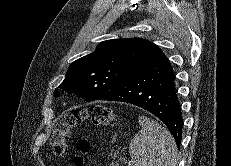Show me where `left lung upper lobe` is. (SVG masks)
I'll use <instances>...</instances> for the list:
<instances>
[{"label": "left lung upper lobe", "mask_w": 231, "mask_h": 166, "mask_svg": "<svg viewBox=\"0 0 231 166\" xmlns=\"http://www.w3.org/2000/svg\"><path fill=\"white\" fill-rule=\"evenodd\" d=\"M162 50L141 38L112 39L101 42L96 50L74 61L59 88L85 101L100 97L147 67ZM58 96V91H55Z\"/></svg>", "instance_id": "left-lung-upper-lobe-1"}]
</instances>
